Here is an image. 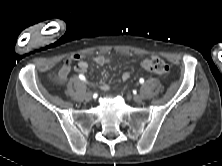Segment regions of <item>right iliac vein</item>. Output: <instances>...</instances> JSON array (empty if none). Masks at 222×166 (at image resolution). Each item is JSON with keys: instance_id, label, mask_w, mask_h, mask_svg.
<instances>
[{"instance_id": "1", "label": "right iliac vein", "mask_w": 222, "mask_h": 166, "mask_svg": "<svg viewBox=\"0 0 222 166\" xmlns=\"http://www.w3.org/2000/svg\"><path fill=\"white\" fill-rule=\"evenodd\" d=\"M85 99H86L87 101H90V100L92 99V92H87V93L85 94Z\"/></svg>"}]
</instances>
